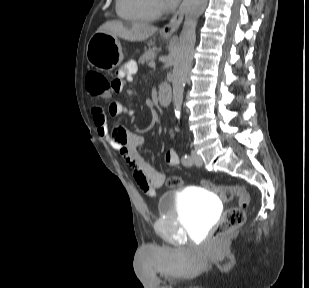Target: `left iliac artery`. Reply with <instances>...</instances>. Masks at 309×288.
Here are the masks:
<instances>
[{
    "mask_svg": "<svg viewBox=\"0 0 309 288\" xmlns=\"http://www.w3.org/2000/svg\"><path fill=\"white\" fill-rule=\"evenodd\" d=\"M182 163H183L185 166L192 165V158H191L188 154H184V155L182 156Z\"/></svg>",
    "mask_w": 309,
    "mask_h": 288,
    "instance_id": "44dca946",
    "label": "left iliac artery"
}]
</instances>
